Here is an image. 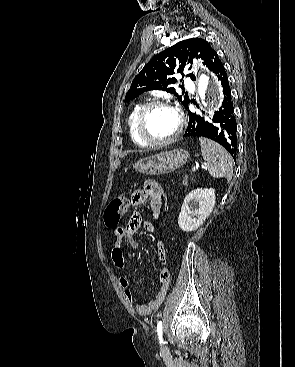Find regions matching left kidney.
<instances>
[{
  "instance_id": "5707ae66",
  "label": "left kidney",
  "mask_w": 295,
  "mask_h": 367,
  "mask_svg": "<svg viewBox=\"0 0 295 367\" xmlns=\"http://www.w3.org/2000/svg\"><path fill=\"white\" fill-rule=\"evenodd\" d=\"M215 206V190L195 189L186 195L178 218L182 231L198 229L209 217Z\"/></svg>"
}]
</instances>
